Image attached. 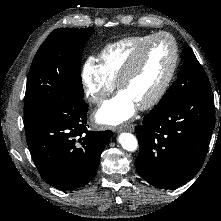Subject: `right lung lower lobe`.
<instances>
[{"instance_id":"right-lung-lower-lobe-1","label":"right lung lower lobe","mask_w":221,"mask_h":221,"mask_svg":"<svg viewBox=\"0 0 221 221\" xmlns=\"http://www.w3.org/2000/svg\"><path fill=\"white\" fill-rule=\"evenodd\" d=\"M88 106L65 97L42 107L25 123L26 140L40 176L60 190H75L96 174L110 130H87Z\"/></svg>"}]
</instances>
